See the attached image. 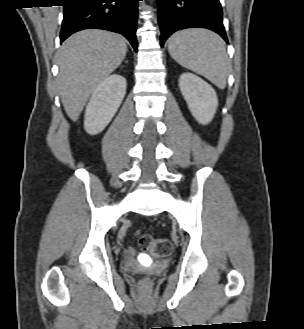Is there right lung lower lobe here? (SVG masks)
Returning <instances> with one entry per match:
<instances>
[{
	"label": "right lung lower lobe",
	"instance_id": "obj_1",
	"mask_svg": "<svg viewBox=\"0 0 304 329\" xmlns=\"http://www.w3.org/2000/svg\"><path fill=\"white\" fill-rule=\"evenodd\" d=\"M65 1L60 42L79 30L98 28L124 35L137 51L136 23L139 0Z\"/></svg>",
	"mask_w": 304,
	"mask_h": 329
}]
</instances>
